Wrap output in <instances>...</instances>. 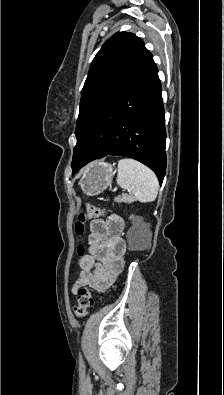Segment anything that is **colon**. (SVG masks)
Returning a JSON list of instances; mask_svg holds the SVG:
<instances>
[{
    "label": "colon",
    "mask_w": 224,
    "mask_h": 395,
    "mask_svg": "<svg viewBox=\"0 0 224 395\" xmlns=\"http://www.w3.org/2000/svg\"><path fill=\"white\" fill-rule=\"evenodd\" d=\"M104 215V211L92 204H87L84 211H82L75 224V232L81 236L84 232V223L89 218H98ZM83 246H79V254L83 253ZM94 305V297L92 292L86 288L81 287L77 292V304L74 307V313L77 317L82 318L87 314V311Z\"/></svg>",
    "instance_id": "obj_1"
}]
</instances>
